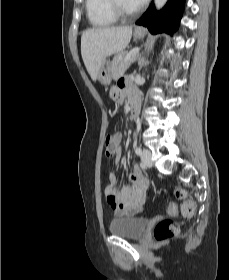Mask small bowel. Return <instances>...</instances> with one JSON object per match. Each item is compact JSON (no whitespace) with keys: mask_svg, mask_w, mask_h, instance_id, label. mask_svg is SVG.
Masks as SVG:
<instances>
[{"mask_svg":"<svg viewBox=\"0 0 229 280\" xmlns=\"http://www.w3.org/2000/svg\"><path fill=\"white\" fill-rule=\"evenodd\" d=\"M138 93V90L130 82L129 77H123L118 80L117 85L109 90V96L112 100L122 103L131 93ZM115 162L119 164L122 161V151L117 147L114 152ZM128 179L134 184L117 185L114 173L108 175V182L105 188L107 201L114 211L116 217H131L142 212L146 199L148 182L143 177L139 166L135 165L128 173ZM130 201L129 204H125Z\"/></svg>","mask_w":229,"mask_h":280,"instance_id":"1","label":"small bowel"}]
</instances>
